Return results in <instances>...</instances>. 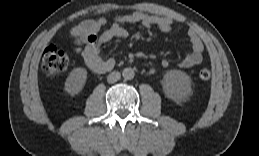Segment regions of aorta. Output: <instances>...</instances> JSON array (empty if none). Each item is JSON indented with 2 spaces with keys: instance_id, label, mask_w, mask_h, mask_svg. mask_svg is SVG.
Listing matches in <instances>:
<instances>
[{
  "instance_id": "obj_1",
  "label": "aorta",
  "mask_w": 259,
  "mask_h": 156,
  "mask_svg": "<svg viewBox=\"0 0 259 156\" xmlns=\"http://www.w3.org/2000/svg\"><path fill=\"white\" fill-rule=\"evenodd\" d=\"M122 76L125 80H131L135 76V71L132 68H124Z\"/></svg>"
}]
</instances>
